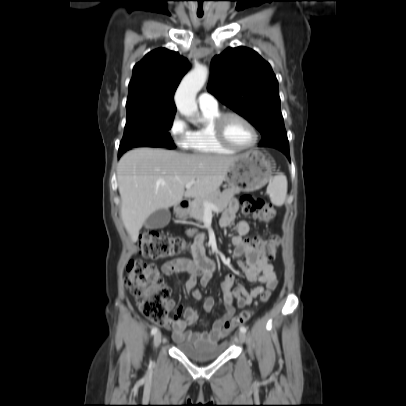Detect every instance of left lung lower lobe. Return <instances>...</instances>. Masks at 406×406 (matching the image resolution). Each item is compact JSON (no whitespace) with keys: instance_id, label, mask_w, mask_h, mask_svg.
I'll return each instance as SVG.
<instances>
[{"instance_id":"obj_1","label":"left lung lower lobe","mask_w":406,"mask_h":406,"mask_svg":"<svg viewBox=\"0 0 406 406\" xmlns=\"http://www.w3.org/2000/svg\"><path fill=\"white\" fill-rule=\"evenodd\" d=\"M279 150H281L284 154H286V156L290 160L289 148H282V149H279Z\"/></svg>"}]
</instances>
